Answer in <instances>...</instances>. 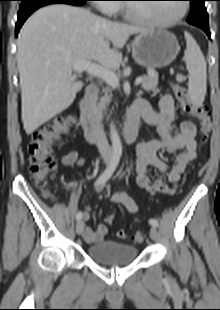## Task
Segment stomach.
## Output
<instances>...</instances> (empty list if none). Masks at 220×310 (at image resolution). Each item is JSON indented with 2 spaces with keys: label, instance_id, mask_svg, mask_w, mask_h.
Masks as SVG:
<instances>
[{
  "label": "stomach",
  "instance_id": "stomach-1",
  "mask_svg": "<svg viewBox=\"0 0 220 310\" xmlns=\"http://www.w3.org/2000/svg\"><path fill=\"white\" fill-rule=\"evenodd\" d=\"M180 47L176 37L164 29H151L138 34L132 41L135 61L148 69L170 65Z\"/></svg>",
  "mask_w": 220,
  "mask_h": 310
}]
</instances>
